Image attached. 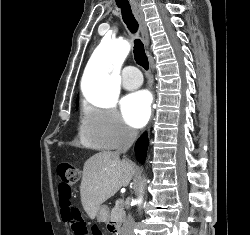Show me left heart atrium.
<instances>
[{"instance_id":"obj_1","label":"left heart atrium","mask_w":250,"mask_h":235,"mask_svg":"<svg viewBox=\"0 0 250 235\" xmlns=\"http://www.w3.org/2000/svg\"><path fill=\"white\" fill-rule=\"evenodd\" d=\"M126 122L134 128L145 125L151 113V96L147 91H137L127 95L121 103Z\"/></svg>"}]
</instances>
